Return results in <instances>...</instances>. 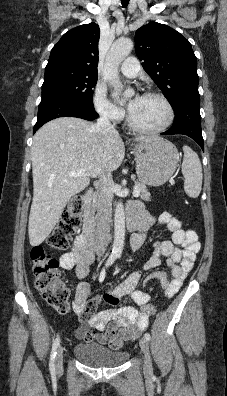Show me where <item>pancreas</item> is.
Returning a JSON list of instances; mask_svg holds the SVG:
<instances>
[{
  "label": "pancreas",
  "mask_w": 227,
  "mask_h": 396,
  "mask_svg": "<svg viewBox=\"0 0 227 396\" xmlns=\"http://www.w3.org/2000/svg\"><path fill=\"white\" fill-rule=\"evenodd\" d=\"M134 188H136L140 192L139 196H140V198L142 200H144V201H150L151 200L150 193L148 192L147 187H146V185L144 183L135 182V187ZM95 207H96V205L94 206L93 210L91 211L92 214H94V212H95Z\"/></svg>",
  "instance_id": "pancreas-1"
}]
</instances>
